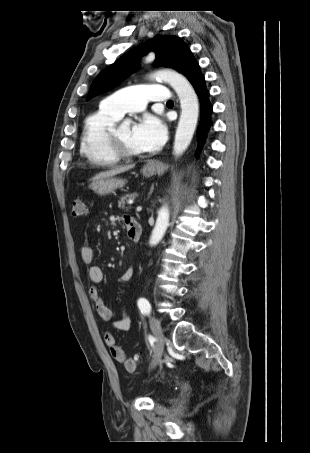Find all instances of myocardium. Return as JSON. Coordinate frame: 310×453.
<instances>
[{
	"label": "myocardium",
	"mask_w": 310,
	"mask_h": 453,
	"mask_svg": "<svg viewBox=\"0 0 310 453\" xmlns=\"http://www.w3.org/2000/svg\"><path fill=\"white\" fill-rule=\"evenodd\" d=\"M117 129L118 128L116 126H113L107 136V144L111 152L115 154L120 160H132L141 158L143 156L142 153L131 152L126 148V146L117 135Z\"/></svg>",
	"instance_id": "1"
}]
</instances>
